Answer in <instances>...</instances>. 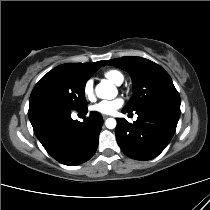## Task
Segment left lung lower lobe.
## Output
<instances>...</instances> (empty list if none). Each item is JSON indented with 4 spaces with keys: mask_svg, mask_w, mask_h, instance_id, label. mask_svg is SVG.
<instances>
[{
    "mask_svg": "<svg viewBox=\"0 0 210 210\" xmlns=\"http://www.w3.org/2000/svg\"><path fill=\"white\" fill-rule=\"evenodd\" d=\"M125 109L122 113H130ZM132 124L117 118L115 135L122 152L136 160L157 157L169 144L180 117V106L154 104L135 111Z\"/></svg>",
    "mask_w": 210,
    "mask_h": 210,
    "instance_id": "0a47b994",
    "label": "left lung lower lobe"
}]
</instances>
